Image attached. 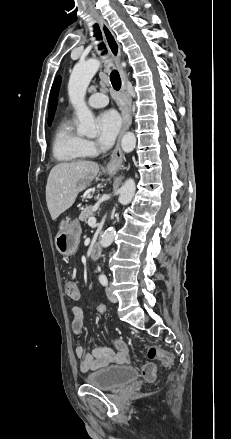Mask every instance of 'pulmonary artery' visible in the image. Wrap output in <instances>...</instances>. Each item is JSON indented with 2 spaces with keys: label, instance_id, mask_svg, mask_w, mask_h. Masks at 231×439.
<instances>
[{
  "label": "pulmonary artery",
  "instance_id": "1",
  "mask_svg": "<svg viewBox=\"0 0 231 439\" xmlns=\"http://www.w3.org/2000/svg\"><path fill=\"white\" fill-rule=\"evenodd\" d=\"M88 104L92 108H101L108 104V97L104 93H93L88 98Z\"/></svg>",
  "mask_w": 231,
  "mask_h": 439
}]
</instances>
